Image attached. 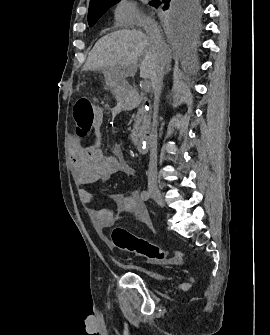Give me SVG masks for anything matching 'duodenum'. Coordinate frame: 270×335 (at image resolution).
Wrapping results in <instances>:
<instances>
[{
  "mask_svg": "<svg viewBox=\"0 0 270 335\" xmlns=\"http://www.w3.org/2000/svg\"><path fill=\"white\" fill-rule=\"evenodd\" d=\"M140 101V94L138 91L132 89L127 85H121L120 87V104L124 110H130L135 108ZM137 150L145 154L149 149V140L147 137H140L136 140Z\"/></svg>",
  "mask_w": 270,
  "mask_h": 335,
  "instance_id": "obj_1",
  "label": "duodenum"
}]
</instances>
